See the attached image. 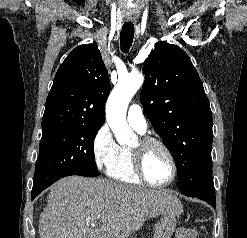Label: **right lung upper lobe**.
Returning <instances> with one entry per match:
<instances>
[{
  "mask_svg": "<svg viewBox=\"0 0 247 238\" xmlns=\"http://www.w3.org/2000/svg\"><path fill=\"white\" fill-rule=\"evenodd\" d=\"M109 91L110 80L96 44L76 47L55 75L42 130L82 123L103 125Z\"/></svg>",
  "mask_w": 247,
  "mask_h": 238,
  "instance_id": "right-lung-upper-lobe-1",
  "label": "right lung upper lobe"
}]
</instances>
